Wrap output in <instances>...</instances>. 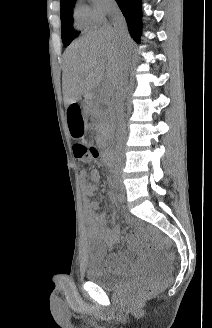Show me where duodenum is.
Returning a JSON list of instances; mask_svg holds the SVG:
<instances>
[{
    "mask_svg": "<svg viewBox=\"0 0 212 328\" xmlns=\"http://www.w3.org/2000/svg\"><path fill=\"white\" fill-rule=\"evenodd\" d=\"M105 161L107 162V163H109V155H108V153L107 152H105Z\"/></svg>",
    "mask_w": 212,
    "mask_h": 328,
    "instance_id": "obj_1",
    "label": "duodenum"
}]
</instances>
